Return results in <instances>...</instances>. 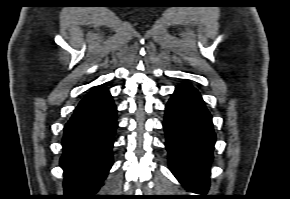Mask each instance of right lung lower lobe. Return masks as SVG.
<instances>
[{
  "mask_svg": "<svg viewBox=\"0 0 290 199\" xmlns=\"http://www.w3.org/2000/svg\"><path fill=\"white\" fill-rule=\"evenodd\" d=\"M117 109L109 91L93 88L79 103L64 128L63 199H96L112 164Z\"/></svg>",
  "mask_w": 290,
  "mask_h": 199,
  "instance_id": "98d812e1",
  "label": "right lung lower lobe"
}]
</instances>
